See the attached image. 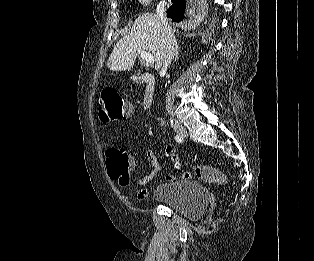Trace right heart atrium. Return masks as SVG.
<instances>
[{
  "mask_svg": "<svg viewBox=\"0 0 314 261\" xmlns=\"http://www.w3.org/2000/svg\"><path fill=\"white\" fill-rule=\"evenodd\" d=\"M153 0H138L141 5H148Z\"/></svg>",
  "mask_w": 314,
  "mask_h": 261,
  "instance_id": "obj_1",
  "label": "right heart atrium"
}]
</instances>
